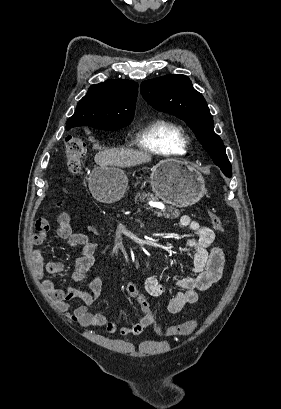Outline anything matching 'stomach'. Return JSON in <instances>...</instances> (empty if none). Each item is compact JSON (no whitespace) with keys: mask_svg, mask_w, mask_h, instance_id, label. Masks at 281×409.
<instances>
[{"mask_svg":"<svg viewBox=\"0 0 281 409\" xmlns=\"http://www.w3.org/2000/svg\"><path fill=\"white\" fill-rule=\"evenodd\" d=\"M153 192L173 207H191L206 192L205 180L194 166L185 160H160L151 170ZM89 190L99 202H116L124 196L128 178L117 166H96L88 178Z\"/></svg>","mask_w":281,"mask_h":409,"instance_id":"1","label":"stomach"}]
</instances>
